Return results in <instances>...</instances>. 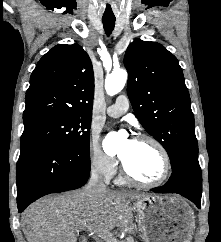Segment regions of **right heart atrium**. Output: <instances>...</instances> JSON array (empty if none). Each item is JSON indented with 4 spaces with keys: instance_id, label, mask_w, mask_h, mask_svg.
Listing matches in <instances>:
<instances>
[{
    "instance_id": "right-heart-atrium-1",
    "label": "right heart atrium",
    "mask_w": 221,
    "mask_h": 242,
    "mask_svg": "<svg viewBox=\"0 0 221 242\" xmlns=\"http://www.w3.org/2000/svg\"><path fill=\"white\" fill-rule=\"evenodd\" d=\"M88 160L91 168L105 179L112 178L118 168L117 157L106 153L99 143L98 136L91 134L88 143Z\"/></svg>"
}]
</instances>
